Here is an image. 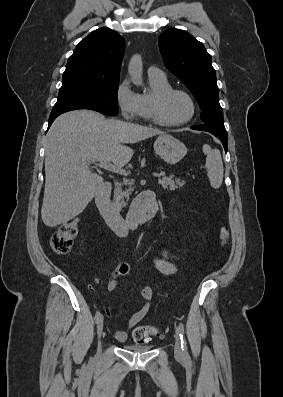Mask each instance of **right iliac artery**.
<instances>
[{
  "mask_svg": "<svg viewBox=\"0 0 283 397\" xmlns=\"http://www.w3.org/2000/svg\"><path fill=\"white\" fill-rule=\"evenodd\" d=\"M100 318H101V314H100L99 311H97L96 314H95V322L98 323V321L100 320Z\"/></svg>",
  "mask_w": 283,
  "mask_h": 397,
  "instance_id": "82829eb1",
  "label": "right iliac artery"
}]
</instances>
